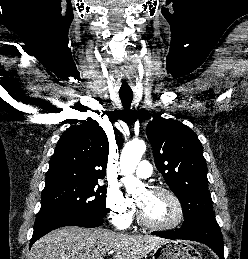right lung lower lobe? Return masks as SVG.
<instances>
[{
	"label": "right lung lower lobe",
	"instance_id": "98d812e1",
	"mask_svg": "<svg viewBox=\"0 0 248 259\" xmlns=\"http://www.w3.org/2000/svg\"><path fill=\"white\" fill-rule=\"evenodd\" d=\"M103 223L102 219L90 220L81 217L78 214L45 210L39 211L34 224V232L30 242V247L33 243L47 234L48 232L63 227V226H79L86 228L98 227Z\"/></svg>",
	"mask_w": 248,
	"mask_h": 259
}]
</instances>
